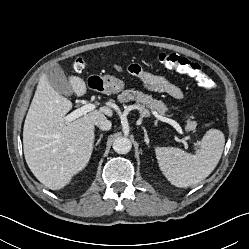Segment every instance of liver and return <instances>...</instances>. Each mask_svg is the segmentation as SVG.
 I'll return each instance as SVG.
<instances>
[{
	"instance_id": "liver-1",
	"label": "liver",
	"mask_w": 249,
	"mask_h": 249,
	"mask_svg": "<svg viewBox=\"0 0 249 249\" xmlns=\"http://www.w3.org/2000/svg\"><path fill=\"white\" fill-rule=\"evenodd\" d=\"M73 93L86 94L85 81L71 75ZM72 103L56 92L43 75L28 110L23 128V149L28 167L47 188L59 190L88 164L95 140L94 125L112 110L101 107L71 122L65 115Z\"/></svg>"
}]
</instances>
